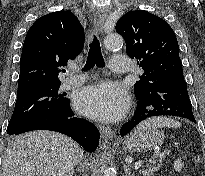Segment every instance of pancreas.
I'll list each match as a JSON object with an SVG mask.
<instances>
[{"label": "pancreas", "instance_id": "obj_1", "mask_svg": "<svg viewBox=\"0 0 205 176\" xmlns=\"http://www.w3.org/2000/svg\"><path fill=\"white\" fill-rule=\"evenodd\" d=\"M156 158V156L152 157L143 170L140 171L143 176H154L160 170L162 158L160 157L159 161Z\"/></svg>", "mask_w": 205, "mask_h": 176}]
</instances>
